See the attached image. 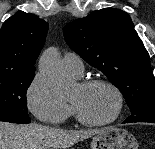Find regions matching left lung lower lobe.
<instances>
[{"mask_svg": "<svg viewBox=\"0 0 155 149\" xmlns=\"http://www.w3.org/2000/svg\"><path fill=\"white\" fill-rule=\"evenodd\" d=\"M133 122H151L155 123V105L151 106L148 110L137 115L129 116L123 123Z\"/></svg>", "mask_w": 155, "mask_h": 149, "instance_id": "0a47b994", "label": "left lung lower lobe"}]
</instances>
